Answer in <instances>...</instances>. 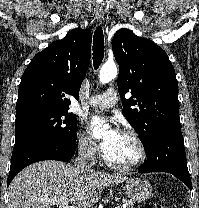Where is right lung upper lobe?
Here are the masks:
<instances>
[{
	"mask_svg": "<svg viewBox=\"0 0 199 208\" xmlns=\"http://www.w3.org/2000/svg\"><path fill=\"white\" fill-rule=\"evenodd\" d=\"M91 31L73 29L34 56L19 86L16 111L32 108L68 109L90 63Z\"/></svg>",
	"mask_w": 199,
	"mask_h": 208,
	"instance_id": "1",
	"label": "right lung upper lobe"
}]
</instances>
